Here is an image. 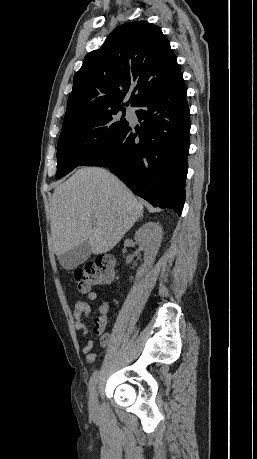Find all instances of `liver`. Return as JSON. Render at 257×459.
<instances>
[{
    "instance_id": "6515ba94",
    "label": "liver",
    "mask_w": 257,
    "mask_h": 459,
    "mask_svg": "<svg viewBox=\"0 0 257 459\" xmlns=\"http://www.w3.org/2000/svg\"><path fill=\"white\" fill-rule=\"evenodd\" d=\"M143 212V205L109 171L99 167L80 168L53 193V250L59 256L87 241L93 254L106 253Z\"/></svg>"
}]
</instances>
